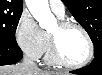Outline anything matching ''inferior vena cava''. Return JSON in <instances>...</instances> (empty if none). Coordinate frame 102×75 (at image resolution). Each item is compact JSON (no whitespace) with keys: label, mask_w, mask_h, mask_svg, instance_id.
Wrapping results in <instances>:
<instances>
[{"label":"inferior vena cava","mask_w":102,"mask_h":75,"mask_svg":"<svg viewBox=\"0 0 102 75\" xmlns=\"http://www.w3.org/2000/svg\"><path fill=\"white\" fill-rule=\"evenodd\" d=\"M22 64L24 66H26L27 68H30V69H38L37 65L35 64V62H33L32 60H30L29 58L27 57H24L23 60H22Z\"/></svg>","instance_id":"inferior-vena-cava-1"}]
</instances>
